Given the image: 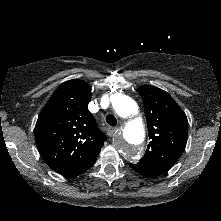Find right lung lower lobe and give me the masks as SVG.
Masks as SVG:
<instances>
[{
  "mask_svg": "<svg viewBox=\"0 0 221 221\" xmlns=\"http://www.w3.org/2000/svg\"><path fill=\"white\" fill-rule=\"evenodd\" d=\"M96 159H97V157L94 158V159H93L91 162H89L87 165H85V166H83V167H81V168H78V169H76V170L70 171V172H68V173H66V174H63V175L66 176V177H74V176H77V175H79V174L85 172V171L88 170L89 168H91V167L94 165Z\"/></svg>",
  "mask_w": 221,
  "mask_h": 221,
  "instance_id": "98d812e1",
  "label": "right lung lower lobe"
}]
</instances>
